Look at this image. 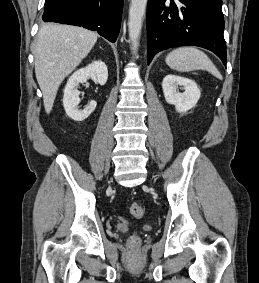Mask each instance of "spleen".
I'll list each match as a JSON object with an SVG mask.
<instances>
[{
	"label": "spleen",
	"mask_w": 259,
	"mask_h": 283,
	"mask_svg": "<svg viewBox=\"0 0 259 283\" xmlns=\"http://www.w3.org/2000/svg\"><path fill=\"white\" fill-rule=\"evenodd\" d=\"M165 61L171 69L179 72L205 70L216 78L222 79L221 73L209 57L194 47H179L174 49L167 55Z\"/></svg>",
	"instance_id": "1"
}]
</instances>
